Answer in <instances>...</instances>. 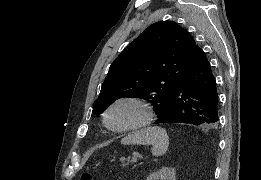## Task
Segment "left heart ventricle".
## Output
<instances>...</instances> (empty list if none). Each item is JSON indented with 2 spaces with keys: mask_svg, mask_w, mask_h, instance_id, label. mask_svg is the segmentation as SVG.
Returning a JSON list of instances; mask_svg holds the SVG:
<instances>
[{
  "mask_svg": "<svg viewBox=\"0 0 261 180\" xmlns=\"http://www.w3.org/2000/svg\"><path fill=\"white\" fill-rule=\"evenodd\" d=\"M137 116V109L132 105H121L111 114V122L114 126H123L131 122Z\"/></svg>",
  "mask_w": 261,
  "mask_h": 180,
  "instance_id": "obj_1",
  "label": "left heart ventricle"
}]
</instances>
